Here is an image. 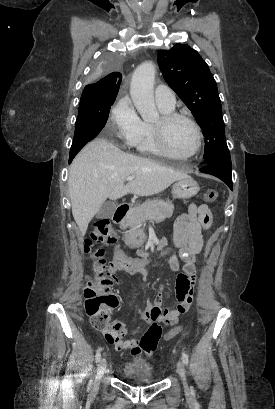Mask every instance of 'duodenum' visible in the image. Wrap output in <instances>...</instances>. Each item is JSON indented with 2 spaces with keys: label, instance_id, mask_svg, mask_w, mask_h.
Returning a JSON list of instances; mask_svg holds the SVG:
<instances>
[{
  "label": "duodenum",
  "instance_id": "duodenum-1",
  "mask_svg": "<svg viewBox=\"0 0 275 409\" xmlns=\"http://www.w3.org/2000/svg\"><path fill=\"white\" fill-rule=\"evenodd\" d=\"M130 209H131V207H130V205H128V204H121V205H119V206L117 207V209H116L114 215H113V221H114V223H116V224H122V223L126 220L128 214H129V212H130Z\"/></svg>",
  "mask_w": 275,
  "mask_h": 409
}]
</instances>
